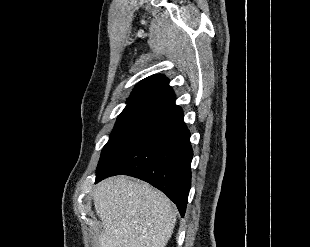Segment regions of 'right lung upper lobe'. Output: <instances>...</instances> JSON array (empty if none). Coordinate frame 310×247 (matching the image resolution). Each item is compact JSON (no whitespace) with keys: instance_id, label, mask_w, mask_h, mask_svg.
<instances>
[{"instance_id":"right-lung-upper-lobe-1","label":"right lung upper lobe","mask_w":310,"mask_h":247,"mask_svg":"<svg viewBox=\"0 0 310 247\" xmlns=\"http://www.w3.org/2000/svg\"><path fill=\"white\" fill-rule=\"evenodd\" d=\"M175 105V95L164 75L140 81L128 98L125 109H151L160 113Z\"/></svg>"}]
</instances>
